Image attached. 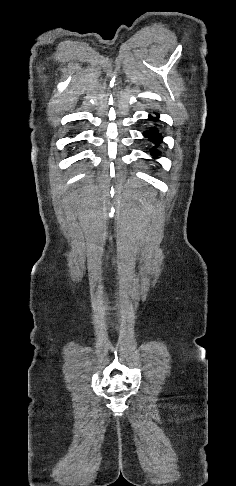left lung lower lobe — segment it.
I'll list each match as a JSON object with an SVG mask.
<instances>
[{"label": "left lung lower lobe", "mask_w": 236, "mask_h": 486, "mask_svg": "<svg viewBox=\"0 0 236 486\" xmlns=\"http://www.w3.org/2000/svg\"><path fill=\"white\" fill-rule=\"evenodd\" d=\"M157 117H152L149 115L150 120L152 121H158L159 114L155 113ZM144 136L148 138L149 141L155 144L153 149L151 150V155L154 156V158H157L158 155H160V151L156 149L162 143V135L159 133V130L156 127H152L149 130L145 131Z\"/></svg>", "instance_id": "obj_1"}]
</instances>
